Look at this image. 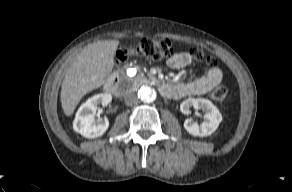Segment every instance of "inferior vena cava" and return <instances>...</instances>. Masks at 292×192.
Masks as SVG:
<instances>
[{
    "mask_svg": "<svg viewBox=\"0 0 292 192\" xmlns=\"http://www.w3.org/2000/svg\"><path fill=\"white\" fill-rule=\"evenodd\" d=\"M138 102V97L135 93H128L125 96V103L129 106H132Z\"/></svg>",
    "mask_w": 292,
    "mask_h": 192,
    "instance_id": "1",
    "label": "inferior vena cava"
}]
</instances>
